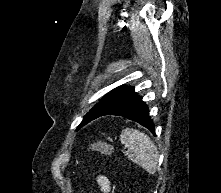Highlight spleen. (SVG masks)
<instances>
[{"mask_svg": "<svg viewBox=\"0 0 221 193\" xmlns=\"http://www.w3.org/2000/svg\"><path fill=\"white\" fill-rule=\"evenodd\" d=\"M120 141L128 148L125 154L131 161L151 174L156 172L159 155L149 136L139 130L126 128L121 132Z\"/></svg>", "mask_w": 221, "mask_h": 193, "instance_id": "spleen-1", "label": "spleen"}]
</instances>
